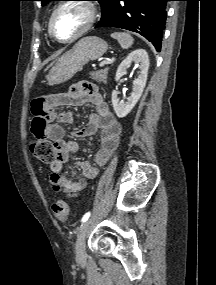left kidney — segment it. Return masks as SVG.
<instances>
[{
	"mask_svg": "<svg viewBox=\"0 0 216 285\" xmlns=\"http://www.w3.org/2000/svg\"><path fill=\"white\" fill-rule=\"evenodd\" d=\"M132 62H135L138 65L140 73L137 79L133 81V91L131 93V96L126 102H123L119 100L117 90H114L112 92V105L116 115L119 118L127 116L129 112L134 108L143 93L147 81L149 57L144 49L134 50L122 61L117 69L115 80L118 81L127 73V69Z\"/></svg>",
	"mask_w": 216,
	"mask_h": 285,
	"instance_id": "obj_1",
	"label": "left kidney"
}]
</instances>
